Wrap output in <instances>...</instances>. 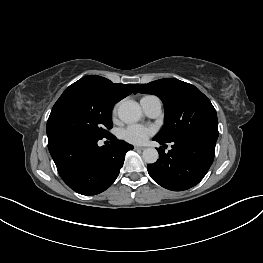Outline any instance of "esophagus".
<instances>
[{
	"label": "esophagus",
	"instance_id": "esophagus-1",
	"mask_svg": "<svg viewBox=\"0 0 263 263\" xmlns=\"http://www.w3.org/2000/svg\"><path fill=\"white\" fill-rule=\"evenodd\" d=\"M134 149H135V150H144L145 147L134 146Z\"/></svg>",
	"mask_w": 263,
	"mask_h": 263
}]
</instances>
